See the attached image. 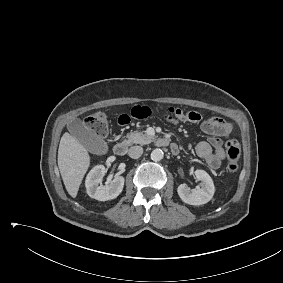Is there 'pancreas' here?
I'll return each mask as SVG.
<instances>
[{
	"label": "pancreas",
	"instance_id": "obj_1",
	"mask_svg": "<svg viewBox=\"0 0 283 283\" xmlns=\"http://www.w3.org/2000/svg\"><path fill=\"white\" fill-rule=\"evenodd\" d=\"M127 139L123 140V143L126 145H132V144H149L152 142L153 137L147 134H143L142 132H131L128 133L126 136Z\"/></svg>",
	"mask_w": 283,
	"mask_h": 283
}]
</instances>
